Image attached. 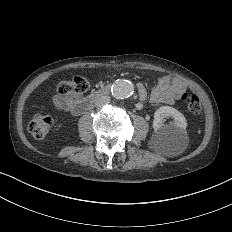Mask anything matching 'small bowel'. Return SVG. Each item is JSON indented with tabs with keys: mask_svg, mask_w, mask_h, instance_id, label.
<instances>
[{
	"mask_svg": "<svg viewBox=\"0 0 232 232\" xmlns=\"http://www.w3.org/2000/svg\"><path fill=\"white\" fill-rule=\"evenodd\" d=\"M185 90L186 84L182 80L175 77H163L150 94L144 85H139L135 100L137 103L147 101L150 104L176 102Z\"/></svg>",
	"mask_w": 232,
	"mask_h": 232,
	"instance_id": "small-bowel-1",
	"label": "small bowel"
}]
</instances>
